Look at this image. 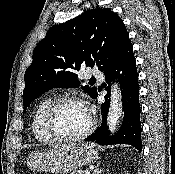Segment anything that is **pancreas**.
Returning <instances> with one entry per match:
<instances>
[{
	"instance_id": "1",
	"label": "pancreas",
	"mask_w": 175,
	"mask_h": 174,
	"mask_svg": "<svg viewBox=\"0 0 175 174\" xmlns=\"http://www.w3.org/2000/svg\"><path fill=\"white\" fill-rule=\"evenodd\" d=\"M71 174H84V171L82 169L74 170Z\"/></svg>"
}]
</instances>
